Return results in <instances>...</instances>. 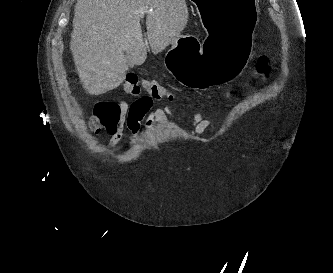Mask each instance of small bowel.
<instances>
[{
    "instance_id": "c3829d8e",
    "label": "small bowel",
    "mask_w": 333,
    "mask_h": 273,
    "mask_svg": "<svg viewBox=\"0 0 333 273\" xmlns=\"http://www.w3.org/2000/svg\"><path fill=\"white\" fill-rule=\"evenodd\" d=\"M153 96H139L138 100L128 105L126 102H120L119 115L121 114V125L114 131L110 132V147L114 148L122 138L123 127L132 134V140L136 139L140 129L144 127L151 130L155 124H166V117L173 114L170 107H160L150 111ZM212 126V122L203 117L201 112L194 114L190 121V127L194 129L196 135H202L208 128Z\"/></svg>"
}]
</instances>
